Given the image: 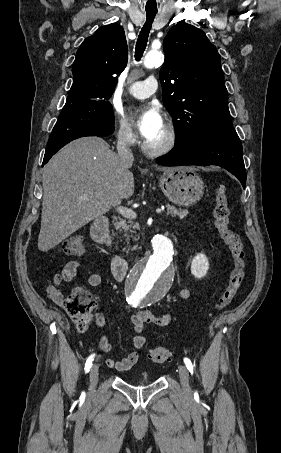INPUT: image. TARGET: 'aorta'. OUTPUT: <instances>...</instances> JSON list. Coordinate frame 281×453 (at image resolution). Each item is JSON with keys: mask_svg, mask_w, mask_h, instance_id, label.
<instances>
[{"mask_svg": "<svg viewBox=\"0 0 281 453\" xmlns=\"http://www.w3.org/2000/svg\"><path fill=\"white\" fill-rule=\"evenodd\" d=\"M164 55L151 51L144 57L146 68L162 65ZM154 254L138 262L130 271L126 281L128 301L135 306H150L162 300L173 283V244L169 238L156 235L152 239Z\"/></svg>", "mask_w": 281, "mask_h": 453, "instance_id": "aorta-1", "label": "aorta"}]
</instances>
